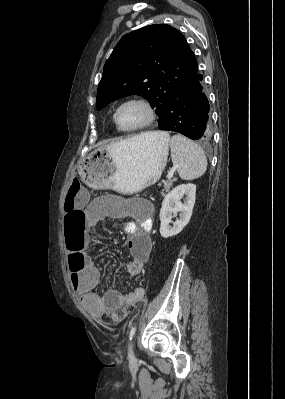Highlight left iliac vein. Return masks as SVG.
<instances>
[{"label":"left iliac vein","mask_w":285,"mask_h":399,"mask_svg":"<svg viewBox=\"0 0 285 399\" xmlns=\"http://www.w3.org/2000/svg\"><path fill=\"white\" fill-rule=\"evenodd\" d=\"M128 357L129 358H133L134 354H133V344L132 342H130L129 347H128Z\"/></svg>","instance_id":"obj_1"}]
</instances>
